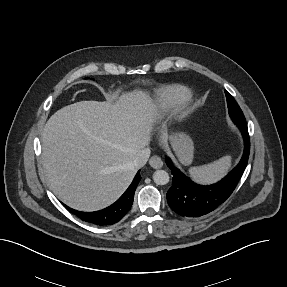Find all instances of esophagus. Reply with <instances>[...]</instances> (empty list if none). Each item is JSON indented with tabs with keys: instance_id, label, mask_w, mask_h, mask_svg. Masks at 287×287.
I'll use <instances>...</instances> for the list:
<instances>
[{
	"instance_id": "34e87169",
	"label": "esophagus",
	"mask_w": 287,
	"mask_h": 287,
	"mask_svg": "<svg viewBox=\"0 0 287 287\" xmlns=\"http://www.w3.org/2000/svg\"><path fill=\"white\" fill-rule=\"evenodd\" d=\"M149 164L154 169H159V168H161L163 166V161H162V159L159 156H153V157L150 158Z\"/></svg>"
}]
</instances>
